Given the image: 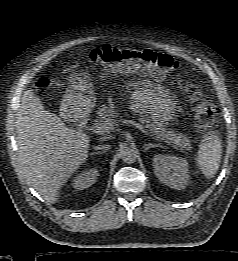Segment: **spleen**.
Here are the masks:
<instances>
[{
  "label": "spleen",
  "mask_w": 238,
  "mask_h": 261,
  "mask_svg": "<svg viewBox=\"0 0 238 261\" xmlns=\"http://www.w3.org/2000/svg\"><path fill=\"white\" fill-rule=\"evenodd\" d=\"M222 157L221 139L217 134L211 133L200 144L197 165L208 179L214 177L220 166Z\"/></svg>",
  "instance_id": "3e777b00"
}]
</instances>
